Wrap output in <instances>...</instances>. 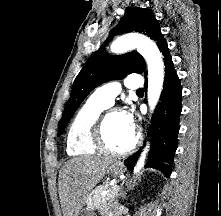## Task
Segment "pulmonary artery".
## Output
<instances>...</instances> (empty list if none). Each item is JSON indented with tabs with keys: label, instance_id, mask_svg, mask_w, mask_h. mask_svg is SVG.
<instances>
[{
	"label": "pulmonary artery",
	"instance_id": "obj_1",
	"mask_svg": "<svg viewBox=\"0 0 221 216\" xmlns=\"http://www.w3.org/2000/svg\"><path fill=\"white\" fill-rule=\"evenodd\" d=\"M143 80L139 76L127 77L125 80V86L129 89L138 90L142 87ZM121 92V85L119 82H109L99 88H97L92 98L107 106H111L117 95Z\"/></svg>",
	"mask_w": 221,
	"mask_h": 216
}]
</instances>
